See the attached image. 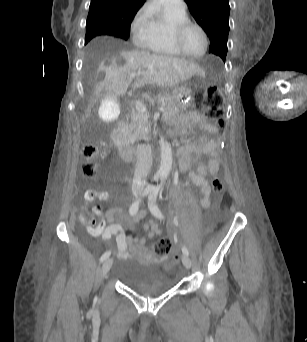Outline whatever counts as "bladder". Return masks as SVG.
<instances>
[{
	"label": "bladder",
	"instance_id": "obj_1",
	"mask_svg": "<svg viewBox=\"0 0 307 342\" xmlns=\"http://www.w3.org/2000/svg\"><path fill=\"white\" fill-rule=\"evenodd\" d=\"M120 278L130 290L147 296L161 295L177 284L172 272L138 261L126 262Z\"/></svg>",
	"mask_w": 307,
	"mask_h": 342
}]
</instances>
